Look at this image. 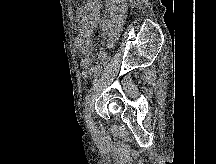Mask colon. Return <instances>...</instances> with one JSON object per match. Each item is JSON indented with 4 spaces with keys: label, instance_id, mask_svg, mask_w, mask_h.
I'll use <instances>...</instances> for the list:
<instances>
[{
    "label": "colon",
    "instance_id": "1",
    "mask_svg": "<svg viewBox=\"0 0 216 164\" xmlns=\"http://www.w3.org/2000/svg\"><path fill=\"white\" fill-rule=\"evenodd\" d=\"M83 70H82V77L83 78H90L94 73V67L91 64L82 63Z\"/></svg>",
    "mask_w": 216,
    "mask_h": 164
}]
</instances>
